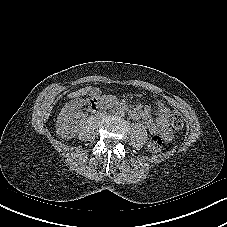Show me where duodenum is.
Instances as JSON below:
<instances>
[{"mask_svg": "<svg viewBox=\"0 0 227 227\" xmlns=\"http://www.w3.org/2000/svg\"><path fill=\"white\" fill-rule=\"evenodd\" d=\"M87 102H88V105L91 107V110L93 112H96V111L102 109L103 106H104L103 96L100 93H97V92L91 93L88 96ZM128 114L132 118L138 117V112L136 110H129Z\"/></svg>", "mask_w": 227, "mask_h": 227, "instance_id": "410a0bca", "label": "duodenum"}]
</instances>
